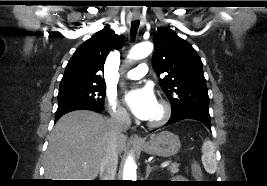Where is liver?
Returning <instances> with one entry per match:
<instances>
[{"label": "liver", "mask_w": 267, "mask_h": 186, "mask_svg": "<svg viewBox=\"0 0 267 186\" xmlns=\"http://www.w3.org/2000/svg\"><path fill=\"white\" fill-rule=\"evenodd\" d=\"M108 119L92 111L78 110L59 119L49 136L44 158L45 178L94 180L105 154ZM126 136L117 139V152L126 147Z\"/></svg>", "instance_id": "6515ba94"}]
</instances>
